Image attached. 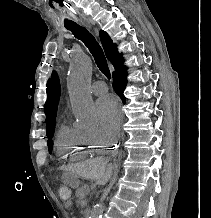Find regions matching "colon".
Masks as SVG:
<instances>
[{"mask_svg": "<svg viewBox=\"0 0 211 218\" xmlns=\"http://www.w3.org/2000/svg\"><path fill=\"white\" fill-rule=\"evenodd\" d=\"M58 195L63 201H70L72 197L71 189L67 185H60L58 188Z\"/></svg>", "mask_w": 211, "mask_h": 218, "instance_id": "obj_1", "label": "colon"}]
</instances>
